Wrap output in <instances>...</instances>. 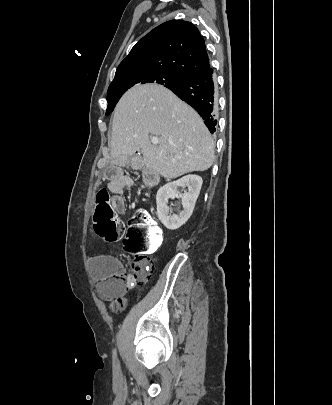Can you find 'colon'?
Returning <instances> with one entry per match:
<instances>
[{
	"label": "colon",
	"instance_id": "obj_1",
	"mask_svg": "<svg viewBox=\"0 0 332 405\" xmlns=\"http://www.w3.org/2000/svg\"><path fill=\"white\" fill-rule=\"evenodd\" d=\"M151 177L150 172L144 174L147 183ZM112 193L107 188L98 191L93 216L96 234L107 242L117 241L124 232V225L112 210ZM129 233L124 255L134 256L131 271H117L98 282L97 292L105 300L119 299L131 285L146 283L152 276L153 261L147 256H155L157 245L163 238L161 228L147 211L137 210L129 223Z\"/></svg>",
	"mask_w": 332,
	"mask_h": 405
}]
</instances>
